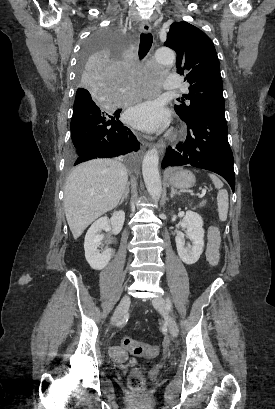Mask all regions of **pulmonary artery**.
I'll use <instances>...</instances> for the list:
<instances>
[{"label": "pulmonary artery", "instance_id": "pulmonary-artery-1", "mask_svg": "<svg viewBox=\"0 0 275 409\" xmlns=\"http://www.w3.org/2000/svg\"><path fill=\"white\" fill-rule=\"evenodd\" d=\"M165 88H177L178 87V77L174 73H168L167 79L164 81Z\"/></svg>", "mask_w": 275, "mask_h": 409}]
</instances>
